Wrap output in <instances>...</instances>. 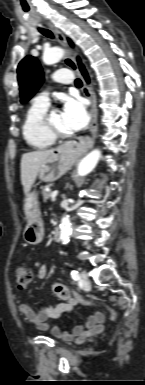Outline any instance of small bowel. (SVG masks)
<instances>
[{
  "label": "small bowel",
  "mask_w": 145,
  "mask_h": 385,
  "mask_svg": "<svg viewBox=\"0 0 145 385\" xmlns=\"http://www.w3.org/2000/svg\"><path fill=\"white\" fill-rule=\"evenodd\" d=\"M49 271V265L43 264L38 268L37 276L45 279ZM64 291V295L58 293L57 289ZM55 293L62 299V302L55 305H41L38 311H34L27 304H20L18 310L28 321H30L40 331L50 330L51 334L64 341L76 340L77 343L84 341L88 337L96 336L104 330L105 316L101 312L91 314L84 324L75 326L71 331H64L57 325L48 323L49 319H57L65 313L71 312L82 299L79 295H74L68 287L63 284L54 285Z\"/></svg>",
  "instance_id": "c3829d8e"
}]
</instances>
